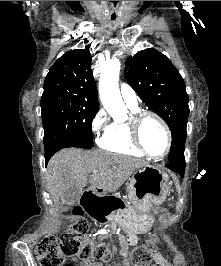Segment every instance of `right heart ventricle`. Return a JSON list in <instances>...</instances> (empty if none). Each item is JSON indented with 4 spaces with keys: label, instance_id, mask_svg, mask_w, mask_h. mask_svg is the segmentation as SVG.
<instances>
[{
    "label": "right heart ventricle",
    "instance_id": "e07e8e85",
    "mask_svg": "<svg viewBox=\"0 0 221 266\" xmlns=\"http://www.w3.org/2000/svg\"><path fill=\"white\" fill-rule=\"evenodd\" d=\"M132 112L138 111L131 108ZM99 146L118 154L142 157L144 154L133 144L128 122H112L99 140Z\"/></svg>",
    "mask_w": 221,
    "mask_h": 266
}]
</instances>
